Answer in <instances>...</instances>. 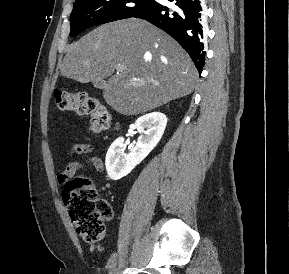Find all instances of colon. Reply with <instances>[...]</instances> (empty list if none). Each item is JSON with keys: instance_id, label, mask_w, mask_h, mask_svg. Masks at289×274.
<instances>
[{"instance_id": "colon-1", "label": "colon", "mask_w": 289, "mask_h": 274, "mask_svg": "<svg viewBox=\"0 0 289 274\" xmlns=\"http://www.w3.org/2000/svg\"><path fill=\"white\" fill-rule=\"evenodd\" d=\"M54 97L58 109L90 116L93 131L101 132L110 127L109 110L88 93L57 90ZM63 200L78 234L89 242L100 240L105 222L112 218V208L107 200L98 197L94 183L86 177L69 180L65 183Z\"/></svg>"}]
</instances>
